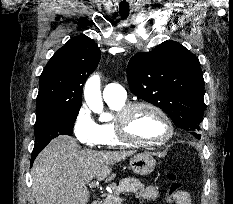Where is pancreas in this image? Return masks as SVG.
Here are the masks:
<instances>
[{
  "label": "pancreas",
  "instance_id": "obj_1",
  "mask_svg": "<svg viewBox=\"0 0 233 204\" xmlns=\"http://www.w3.org/2000/svg\"><path fill=\"white\" fill-rule=\"evenodd\" d=\"M144 185L136 178L127 177L122 179L118 185L113 184V194H108L102 204H121L120 193H136L142 189Z\"/></svg>",
  "mask_w": 233,
  "mask_h": 204
}]
</instances>
